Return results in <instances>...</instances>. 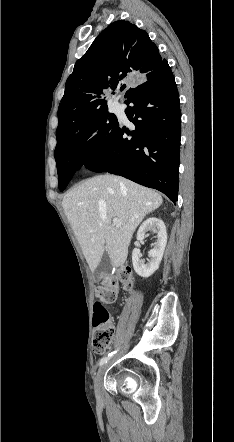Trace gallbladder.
<instances>
[{
    "instance_id": "1",
    "label": "gallbladder",
    "mask_w": 234,
    "mask_h": 442,
    "mask_svg": "<svg viewBox=\"0 0 234 442\" xmlns=\"http://www.w3.org/2000/svg\"><path fill=\"white\" fill-rule=\"evenodd\" d=\"M111 261L107 252L104 253L102 259L96 268L95 274L97 277V281L101 279L102 276L108 275L111 271Z\"/></svg>"
}]
</instances>
